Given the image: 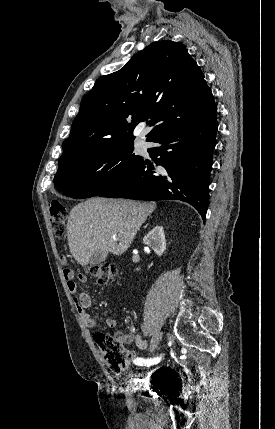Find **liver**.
Segmentation results:
<instances>
[{"label":"liver","instance_id":"liver-1","mask_svg":"<svg viewBox=\"0 0 275 429\" xmlns=\"http://www.w3.org/2000/svg\"><path fill=\"white\" fill-rule=\"evenodd\" d=\"M155 208L154 202L99 197L77 204L67 224L71 254L82 266L96 251L122 255Z\"/></svg>","mask_w":275,"mask_h":429}]
</instances>
